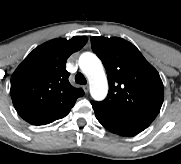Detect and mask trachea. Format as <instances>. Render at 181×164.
I'll use <instances>...</instances> for the list:
<instances>
[{"instance_id":"obj_1","label":"trachea","mask_w":181,"mask_h":164,"mask_svg":"<svg viewBox=\"0 0 181 164\" xmlns=\"http://www.w3.org/2000/svg\"><path fill=\"white\" fill-rule=\"evenodd\" d=\"M75 81L76 83L78 84H86L87 81H86V78L84 77V75L82 73H77L76 76H75Z\"/></svg>"}]
</instances>
